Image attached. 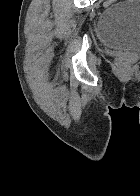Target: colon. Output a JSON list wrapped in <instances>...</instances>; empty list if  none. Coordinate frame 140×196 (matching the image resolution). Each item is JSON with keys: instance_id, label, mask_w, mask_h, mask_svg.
Returning a JSON list of instances; mask_svg holds the SVG:
<instances>
[{"instance_id": "1", "label": "colon", "mask_w": 140, "mask_h": 196, "mask_svg": "<svg viewBox=\"0 0 140 196\" xmlns=\"http://www.w3.org/2000/svg\"><path fill=\"white\" fill-rule=\"evenodd\" d=\"M116 2H117V0H106L105 6H106V7L112 6V5L116 4ZM116 65H117V68H118L121 72H125V71H127L128 68H129L128 59L125 58L124 56H119V57L116 59Z\"/></svg>"}]
</instances>
